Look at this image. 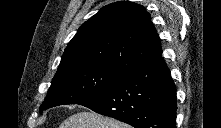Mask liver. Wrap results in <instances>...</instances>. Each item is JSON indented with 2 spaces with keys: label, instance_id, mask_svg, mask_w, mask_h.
Returning <instances> with one entry per match:
<instances>
[{
  "label": "liver",
  "instance_id": "6515ba94",
  "mask_svg": "<svg viewBox=\"0 0 221 128\" xmlns=\"http://www.w3.org/2000/svg\"><path fill=\"white\" fill-rule=\"evenodd\" d=\"M59 128H130V126L92 111H84L68 117Z\"/></svg>",
  "mask_w": 221,
  "mask_h": 128
}]
</instances>
